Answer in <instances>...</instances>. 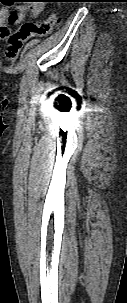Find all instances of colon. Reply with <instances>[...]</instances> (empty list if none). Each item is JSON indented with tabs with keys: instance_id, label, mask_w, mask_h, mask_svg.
Instances as JSON below:
<instances>
[{
	"instance_id": "1",
	"label": "colon",
	"mask_w": 127,
	"mask_h": 303,
	"mask_svg": "<svg viewBox=\"0 0 127 303\" xmlns=\"http://www.w3.org/2000/svg\"><path fill=\"white\" fill-rule=\"evenodd\" d=\"M58 22V14L51 12L41 23L25 22L16 31L10 32L6 37L8 42L7 58L10 61H15L28 39L49 35Z\"/></svg>"
}]
</instances>
